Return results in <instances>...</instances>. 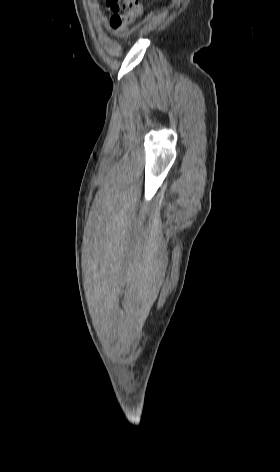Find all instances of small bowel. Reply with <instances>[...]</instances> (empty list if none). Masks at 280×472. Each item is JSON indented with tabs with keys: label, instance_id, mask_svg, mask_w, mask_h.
Segmentation results:
<instances>
[{
	"label": "small bowel",
	"instance_id": "small-bowel-1",
	"mask_svg": "<svg viewBox=\"0 0 280 472\" xmlns=\"http://www.w3.org/2000/svg\"><path fill=\"white\" fill-rule=\"evenodd\" d=\"M111 27L117 34H123L126 30L125 26H115L112 24V22H111Z\"/></svg>",
	"mask_w": 280,
	"mask_h": 472
}]
</instances>
